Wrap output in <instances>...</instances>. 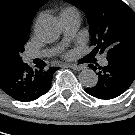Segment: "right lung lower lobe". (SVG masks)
Wrapping results in <instances>:
<instances>
[{
	"label": "right lung lower lobe",
	"instance_id": "98d812e1",
	"mask_svg": "<svg viewBox=\"0 0 135 135\" xmlns=\"http://www.w3.org/2000/svg\"><path fill=\"white\" fill-rule=\"evenodd\" d=\"M58 69L33 70L23 61L0 59V89L18 101L35 100L50 90L53 74Z\"/></svg>",
	"mask_w": 135,
	"mask_h": 135
}]
</instances>
